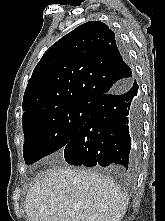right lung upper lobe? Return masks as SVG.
<instances>
[{"instance_id":"obj_1","label":"right lung upper lobe","mask_w":165,"mask_h":221,"mask_svg":"<svg viewBox=\"0 0 165 221\" xmlns=\"http://www.w3.org/2000/svg\"><path fill=\"white\" fill-rule=\"evenodd\" d=\"M132 79L114 32L100 21L84 23L53 44L35 67L22 121L59 106L91 104Z\"/></svg>"}]
</instances>
